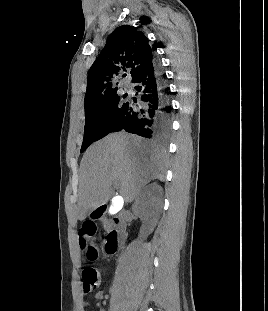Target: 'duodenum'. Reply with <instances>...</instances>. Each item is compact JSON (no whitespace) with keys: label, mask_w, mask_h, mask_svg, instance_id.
<instances>
[{"label":"duodenum","mask_w":268,"mask_h":311,"mask_svg":"<svg viewBox=\"0 0 268 311\" xmlns=\"http://www.w3.org/2000/svg\"><path fill=\"white\" fill-rule=\"evenodd\" d=\"M107 206L103 205L97 208L93 212V217L95 219H101L105 212ZM125 234V222L121 217L113 218V228L109 231L106 242L105 250L109 254H115L121 247Z\"/></svg>","instance_id":"1"}]
</instances>
